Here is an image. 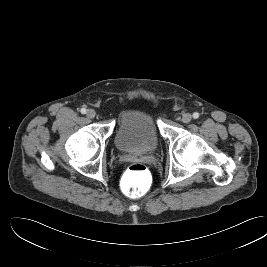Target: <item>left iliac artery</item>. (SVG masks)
I'll list each match as a JSON object with an SVG mask.
<instances>
[{
  "label": "left iliac artery",
  "mask_w": 267,
  "mask_h": 267,
  "mask_svg": "<svg viewBox=\"0 0 267 267\" xmlns=\"http://www.w3.org/2000/svg\"><path fill=\"white\" fill-rule=\"evenodd\" d=\"M193 118H194V119L199 118V113H198V112L193 113Z\"/></svg>",
  "instance_id": "left-iliac-artery-1"
}]
</instances>
